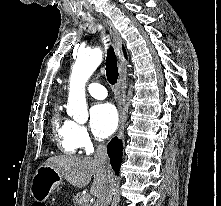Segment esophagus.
<instances>
[{
    "label": "esophagus",
    "instance_id": "obj_1",
    "mask_svg": "<svg viewBox=\"0 0 221 206\" xmlns=\"http://www.w3.org/2000/svg\"><path fill=\"white\" fill-rule=\"evenodd\" d=\"M102 20L103 24L109 31V34L111 36L112 42H113V47L115 50V53L118 58V66H119V79L117 83V93H118V98H119V104H120V109H121V120H120V126L118 129V136L122 137L127 121V111L125 108V91H126V63L123 58L122 54V47H121V38L120 34L117 31V29L114 27L112 22L104 17H100Z\"/></svg>",
    "mask_w": 221,
    "mask_h": 206
}]
</instances>
